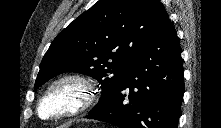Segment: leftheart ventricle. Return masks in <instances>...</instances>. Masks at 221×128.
Here are the masks:
<instances>
[{
  "mask_svg": "<svg viewBox=\"0 0 221 128\" xmlns=\"http://www.w3.org/2000/svg\"><path fill=\"white\" fill-rule=\"evenodd\" d=\"M69 99V94L67 92H62L58 98V104L66 103Z\"/></svg>",
  "mask_w": 221,
  "mask_h": 128,
  "instance_id": "left-heart-ventricle-1",
  "label": "left heart ventricle"
}]
</instances>
